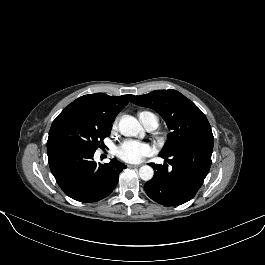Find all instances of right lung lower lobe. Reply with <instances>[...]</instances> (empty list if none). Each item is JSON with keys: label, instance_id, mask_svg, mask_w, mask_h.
Instances as JSON below:
<instances>
[{"label": "right lung lower lobe", "instance_id": "obj_1", "mask_svg": "<svg viewBox=\"0 0 265 265\" xmlns=\"http://www.w3.org/2000/svg\"><path fill=\"white\" fill-rule=\"evenodd\" d=\"M94 152L75 144L47 146L51 172L64 193L74 200L89 203L105 198L127 167L115 158L107 164H96Z\"/></svg>", "mask_w": 265, "mask_h": 265}]
</instances>
